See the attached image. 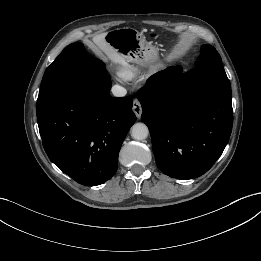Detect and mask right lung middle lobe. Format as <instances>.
Listing matches in <instances>:
<instances>
[{"label":"right lung middle lobe","mask_w":261,"mask_h":261,"mask_svg":"<svg viewBox=\"0 0 261 261\" xmlns=\"http://www.w3.org/2000/svg\"><path fill=\"white\" fill-rule=\"evenodd\" d=\"M102 76H107L104 64L89 56L82 43L69 45L45 71L37 99V109L66 87Z\"/></svg>","instance_id":"right-lung-middle-lobe-1"}]
</instances>
